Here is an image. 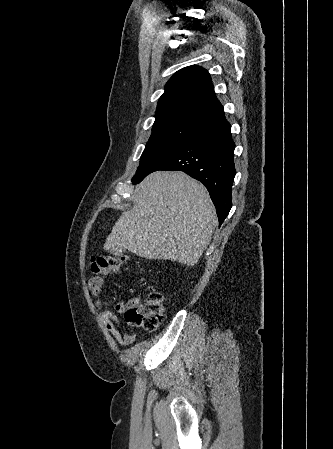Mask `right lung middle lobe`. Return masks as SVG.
<instances>
[{
  "label": "right lung middle lobe",
  "instance_id": "obj_1",
  "mask_svg": "<svg viewBox=\"0 0 333 449\" xmlns=\"http://www.w3.org/2000/svg\"><path fill=\"white\" fill-rule=\"evenodd\" d=\"M201 130V128L184 124L168 125L153 130L133 180L144 177L168 154Z\"/></svg>",
  "mask_w": 333,
  "mask_h": 449
}]
</instances>
